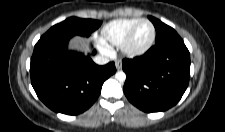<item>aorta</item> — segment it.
<instances>
[{
    "instance_id": "obj_1",
    "label": "aorta",
    "mask_w": 225,
    "mask_h": 132,
    "mask_svg": "<svg viewBox=\"0 0 225 132\" xmlns=\"http://www.w3.org/2000/svg\"><path fill=\"white\" fill-rule=\"evenodd\" d=\"M115 78L119 81V82H124L126 80V74L123 71H118L115 74Z\"/></svg>"
}]
</instances>
